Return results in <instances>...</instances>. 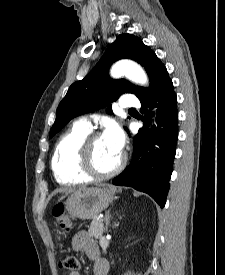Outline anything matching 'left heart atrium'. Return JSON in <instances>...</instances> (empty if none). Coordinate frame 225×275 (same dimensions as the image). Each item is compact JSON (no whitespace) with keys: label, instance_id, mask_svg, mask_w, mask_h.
Returning <instances> with one entry per match:
<instances>
[{"label":"left heart atrium","instance_id":"1","mask_svg":"<svg viewBox=\"0 0 225 275\" xmlns=\"http://www.w3.org/2000/svg\"><path fill=\"white\" fill-rule=\"evenodd\" d=\"M102 138L114 152L118 154L122 153L125 144V136L122 129L117 124H109Z\"/></svg>","mask_w":225,"mask_h":275}]
</instances>
